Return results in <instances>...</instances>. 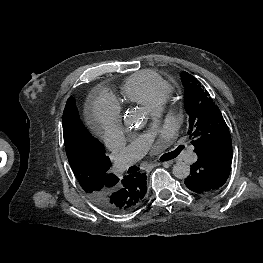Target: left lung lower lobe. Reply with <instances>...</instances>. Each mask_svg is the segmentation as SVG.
I'll return each instance as SVG.
<instances>
[{"label":"left lung lower lobe","mask_w":263,"mask_h":263,"mask_svg":"<svg viewBox=\"0 0 263 263\" xmlns=\"http://www.w3.org/2000/svg\"><path fill=\"white\" fill-rule=\"evenodd\" d=\"M185 185L191 191L205 195L218 190L228 179L232 163V145L221 144L197 154Z\"/></svg>","instance_id":"obj_1"}]
</instances>
